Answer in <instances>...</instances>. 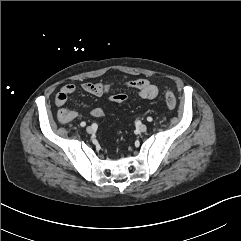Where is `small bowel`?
<instances>
[{
	"mask_svg": "<svg viewBox=\"0 0 241 241\" xmlns=\"http://www.w3.org/2000/svg\"><path fill=\"white\" fill-rule=\"evenodd\" d=\"M125 85L128 88L136 90L142 99L152 100L156 98L159 93L158 87L146 78L129 81L126 82ZM113 87V84L103 82H84L81 84L84 92L97 97L109 93ZM75 91L76 86L74 84H66L59 90L55 97V104L60 108L57 113V118L59 122L63 124L70 123L78 117L77 112L65 108L69 97L74 94ZM91 115L95 118H101L104 115V111L100 107H95L91 110Z\"/></svg>",
	"mask_w": 241,
	"mask_h": 241,
	"instance_id": "1",
	"label": "small bowel"
}]
</instances>
